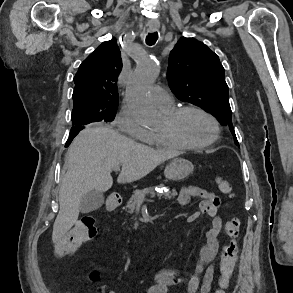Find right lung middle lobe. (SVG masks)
I'll use <instances>...</instances> for the list:
<instances>
[{
    "instance_id": "obj_1",
    "label": "right lung middle lobe",
    "mask_w": 293,
    "mask_h": 293,
    "mask_svg": "<svg viewBox=\"0 0 293 293\" xmlns=\"http://www.w3.org/2000/svg\"><path fill=\"white\" fill-rule=\"evenodd\" d=\"M116 115V109L98 111L83 108H74L72 111V125L86 126L92 122L113 121Z\"/></svg>"
}]
</instances>
